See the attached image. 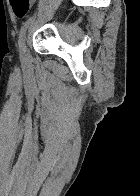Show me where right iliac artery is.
<instances>
[{
    "mask_svg": "<svg viewBox=\"0 0 140 196\" xmlns=\"http://www.w3.org/2000/svg\"><path fill=\"white\" fill-rule=\"evenodd\" d=\"M28 25V21L26 22L25 26L21 29L20 34H19V47H20V53H21V58L23 59V55L26 52V45H25V31Z\"/></svg>",
    "mask_w": 140,
    "mask_h": 196,
    "instance_id": "obj_1",
    "label": "right iliac artery"
}]
</instances>
